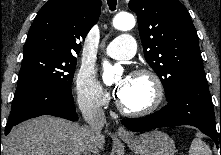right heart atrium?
<instances>
[{
    "instance_id": "1",
    "label": "right heart atrium",
    "mask_w": 221,
    "mask_h": 155,
    "mask_svg": "<svg viewBox=\"0 0 221 155\" xmlns=\"http://www.w3.org/2000/svg\"><path fill=\"white\" fill-rule=\"evenodd\" d=\"M74 90L80 104L90 107H102L109 100V95L104 90L94 72L81 68L74 81Z\"/></svg>"
}]
</instances>
